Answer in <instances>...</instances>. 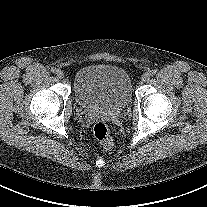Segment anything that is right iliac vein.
Instances as JSON below:
<instances>
[{
    "label": "right iliac vein",
    "instance_id": "obj_1",
    "mask_svg": "<svg viewBox=\"0 0 207 207\" xmlns=\"http://www.w3.org/2000/svg\"><path fill=\"white\" fill-rule=\"evenodd\" d=\"M56 75H57L58 78H63V76H64L63 71L60 70V69H58V70L56 71Z\"/></svg>",
    "mask_w": 207,
    "mask_h": 207
}]
</instances>
